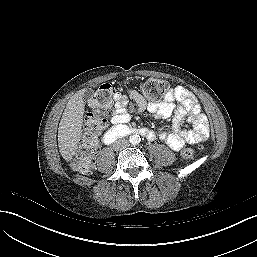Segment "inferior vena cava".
Returning <instances> with one entry per match:
<instances>
[{
	"instance_id": "obj_1",
	"label": "inferior vena cava",
	"mask_w": 257,
	"mask_h": 257,
	"mask_svg": "<svg viewBox=\"0 0 257 257\" xmlns=\"http://www.w3.org/2000/svg\"><path fill=\"white\" fill-rule=\"evenodd\" d=\"M128 146H129V142L125 138L118 139L113 144V148H114L115 151L125 149Z\"/></svg>"
}]
</instances>
